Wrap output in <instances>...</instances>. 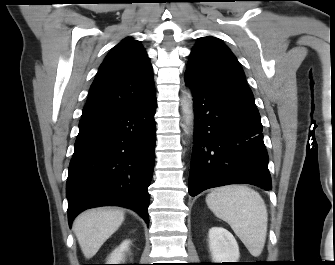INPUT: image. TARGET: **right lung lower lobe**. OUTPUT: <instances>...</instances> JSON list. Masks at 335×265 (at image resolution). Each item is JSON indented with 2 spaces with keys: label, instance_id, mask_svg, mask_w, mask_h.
Here are the masks:
<instances>
[{
  "label": "right lung lower lobe",
  "instance_id": "1",
  "mask_svg": "<svg viewBox=\"0 0 335 265\" xmlns=\"http://www.w3.org/2000/svg\"><path fill=\"white\" fill-rule=\"evenodd\" d=\"M156 98L124 110L82 117L66 185L68 221L83 210L115 205L148 224L154 168Z\"/></svg>",
  "mask_w": 335,
  "mask_h": 265
}]
</instances>
